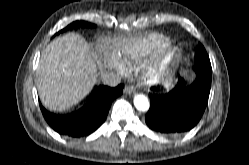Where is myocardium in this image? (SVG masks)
<instances>
[{
    "mask_svg": "<svg viewBox=\"0 0 249 165\" xmlns=\"http://www.w3.org/2000/svg\"><path fill=\"white\" fill-rule=\"evenodd\" d=\"M181 56V51L174 48L147 62L141 71L142 83L156 89L168 86Z\"/></svg>",
    "mask_w": 249,
    "mask_h": 165,
    "instance_id": "1",
    "label": "myocardium"
}]
</instances>
